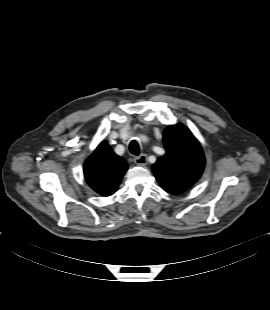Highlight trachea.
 <instances>
[{
    "instance_id": "3493384b",
    "label": "trachea",
    "mask_w": 270,
    "mask_h": 310,
    "mask_svg": "<svg viewBox=\"0 0 270 310\" xmlns=\"http://www.w3.org/2000/svg\"><path fill=\"white\" fill-rule=\"evenodd\" d=\"M129 150L133 155L138 156L140 154L139 144L136 140H132L129 144Z\"/></svg>"
}]
</instances>
